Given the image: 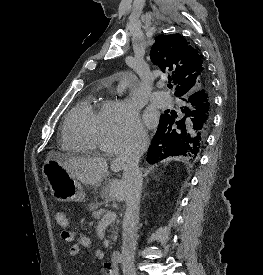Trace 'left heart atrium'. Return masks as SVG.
Returning <instances> with one entry per match:
<instances>
[{
    "label": "left heart atrium",
    "mask_w": 263,
    "mask_h": 275,
    "mask_svg": "<svg viewBox=\"0 0 263 275\" xmlns=\"http://www.w3.org/2000/svg\"><path fill=\"white\" fill-rule=\"evenodd\" d=\"M145 122L147 125L152 126L155 123V117L152 114L147 113L145 116Z\"/></svg>",
    "instance_id": "39dd6f15"
}]
</instances>
